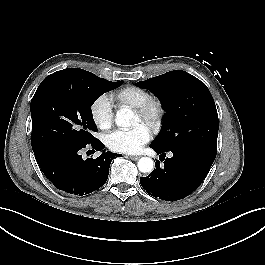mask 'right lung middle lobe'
<instances>
[{"label":"right lung middle lobe","mask_w":265,"mask_h":265,"mask_svg":"<svg viewBox=\"0 0 265 265\" xmlns=\"http://www.w3.org/2000/svg\"><path fill=\"white\" fill-rule=\"evenodd\" d=\"M80 68L47 76L31 100L33 152L62 146H86L97 140L91 106L103 93L119 87Z\"/></svg>","instance_id":"obj_1"}]
</instances>
